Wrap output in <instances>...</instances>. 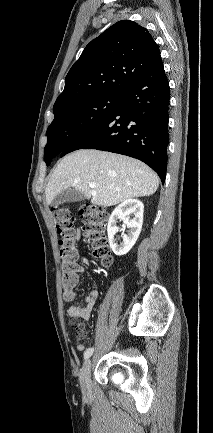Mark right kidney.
I'll return each instance as SVG.
<instances>
[{
    "label": "right kidney",
    "mask_w": 213,
    "mask_h": 433,
    "mask_svg": "<svg viewBox=\"0 0 213 433\" xmlns=\"http://www.w3.org/2000/svg\"><path fill=\"white\" fill-rule=\"evenodd\" d=\"M144 205L137 199H128L118 205L110 215L107 233L109 245L117 256L127 254L134 246L143 224ZM132 216V218L130 217ZM121 219L129 228L128 235L122 236V243L117 244L115 234L119 231L117 220Z\"/></svg>",
    "instance_id": "1"
}]
</instances>
